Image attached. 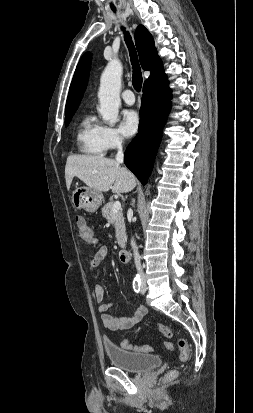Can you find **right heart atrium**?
Instances as JSON below:
<instances>
[{
    "mask_svg": "<svg viewBox=\"0 0 253 413\" xmlns=\"http://www.w3.org/2000/svg\"><path fill=\"white\" fill-rule=\"evenodd\" d=\"M101 140L105 150L118 149L124 144V138L120 131L112 126H102Z\"/></svg>",
    "mask_w": 253,
    "mask_h": 413,
    "instance_id": "right-heart-atrium-1",
    "label": "right heart atrium"
}]
</instances>
